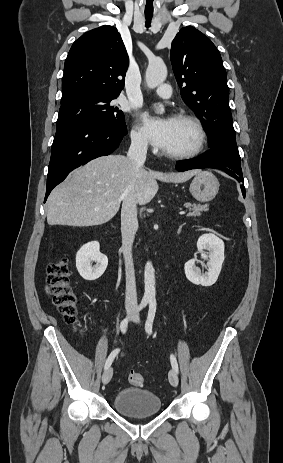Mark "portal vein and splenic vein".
I'll use <instances>...</instances> for the list:
<instances>
[{
    "label": "portal vein and splenic vein",
    "instance_id": "18ae733b",
    "mask_svg": "<svg viewBox=\"0 0 283 463\" xmlns=\"http://www.w3.org/2000/svg\"><path fill=\"white\" fill-rule=\"evenodd\" d=\"M179 214H180V215H183V214H185V212H180Z\"/></svg>",
    "mask_w": 283,
    "mask_h": 463
}]
</instances>
